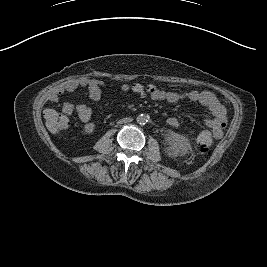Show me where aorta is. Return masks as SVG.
<instances>
[{"instance_id":"aorta-1","label":"aorta","mask_w":267,"mask_h":267,"mask_svg":"<svg viewBox=\"0 0 267 267\" xmlns=\"http://www.w3.org/2000/svg\"><path fill=\"white\" fill-rule=\"evenodd\" d=\"M148 122V116L145 114H140L137 117V123L140 125H144Z\"/></svg>"}]
</instances>
